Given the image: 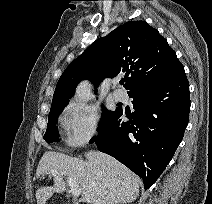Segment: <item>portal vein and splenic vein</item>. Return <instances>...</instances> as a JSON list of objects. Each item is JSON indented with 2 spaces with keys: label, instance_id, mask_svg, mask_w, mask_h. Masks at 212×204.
Returning <instances> with one entry per match:
<instances>
[{
  "label": "portal vein and splenic vein",
  "instance_id": "1",
  "mask_svg": "<svg viewBox=\"0 0 212 204\" xmlns=\"http://www.w3.org/2000/svg\"><path fill=\"white\" fill-rule=\"evenodd\" d=\"M51 174L53 176H55L57 174V171L56 170H53L51 172ZM67 183L70 187V192L73 196H80L81 195V189L77 186L76 182L74 180H72L71 178H67Z\"/></svg>",
  "mask_w": 212,
  "mask_h": 204
}]
</instances>
